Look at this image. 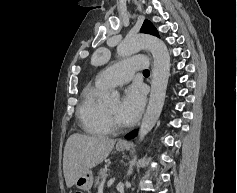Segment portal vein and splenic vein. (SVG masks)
I'll list each match as a JSON object with an SVG mask.
<instances>
[{
	"label": "portal vein and splenic vein",
	"instance_id": "portal-vein-and-splenic-vein-1",
	"mask_svg": "<svg viewBox=\"0 0 237 193\" xmlns=\"http://www.w3.org/2000/svg\"><path fill=\"white\" fill-rule=\"evenodd\" d=\"M106 177H107V174H105V176L103 177V179H102V183H105V181H106Z\"/></svg>",
	"mask_w": 237,
	"mask_h": 193
}]
</instances>
